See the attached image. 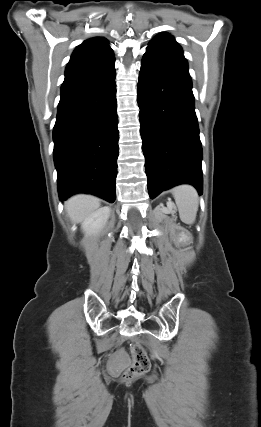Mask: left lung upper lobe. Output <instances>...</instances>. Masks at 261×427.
Returning <instances> with one entry per match:
<instances>
[{"label": "left lung upper lobe", "mask_w": 261, "mask_h": 427, "mask_svg": "<svg viewBox=\"0 0 261 427\" xmlns=\"http://www.w3.org/2000/svg\"><path fill=\"white\" fill-rule=\"evenodd\" d=\"M147 49L161 52L171 57L186 61L185 57L183 56L182 48L168 33H161L156 35L150 41Z\"/></svg>", "instance_id": "left-lung-upper-lobe-1"}]
</instances>
